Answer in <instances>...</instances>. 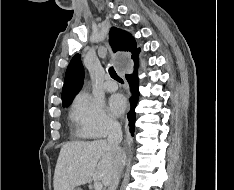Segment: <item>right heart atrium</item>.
<instances>
[{"label":"right heart atrium","mask_w":234,"mask_h":190,"mask_svg":"<svg viewBox=\"0 0 234 190\" xmlns=\"http://www.w3.org/2000/svg\"><path fill=\"white\" fill-rule=\"evenodd\" d=\"M70 118L77 132L87 138H100L117 129V122L107 113L103 102L85 92L74 98Z\"/></svg>","instance_id":"right-heart-atrium-1"}]
</instances>
